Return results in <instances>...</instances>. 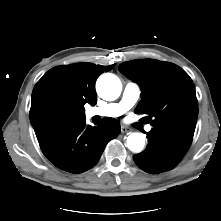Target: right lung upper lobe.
Wrapping results in <instances>:
<instances>
[{"instance_id": "cb5924a9", "label": "right lung upper lobe", "mask_w": 221, "mask_h": 221, "mask_svg": "<svg viewBox=\"0 0 221 221\" xmlns=\"http://www.w3.org/2000/svg\"><path fill=\"white\" fill-rule=\"evenodd\" d=\"M114 66L83 62L47 71L32 92L30 121L37 139L64 123L85 119L84 105L97 103L96 79Z\"/></svg>"}]
</instances>
